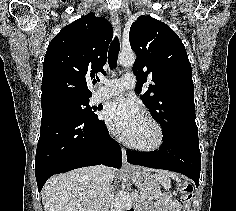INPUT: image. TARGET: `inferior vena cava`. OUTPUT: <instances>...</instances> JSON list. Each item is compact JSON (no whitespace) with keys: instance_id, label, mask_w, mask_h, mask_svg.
Returning a JSON list of instances; mask_svg holds the SVG:
<instances>
[{"instance_id":"1","label":"inferior vena cava","mask_w":236,"mask_h":211,"mask_svg":"<svg viewBox=\"0 0 236 211\" xmlns=\"http://www.w3.org/2000/svg\"><path fill=\"white\" fill-rule=\"evenodd\" d=\"M108 168L105 166L95 167L97 190L93 197L92 211H108L110 202V182L107 175Z\"/></svg>"}]
</instances>
